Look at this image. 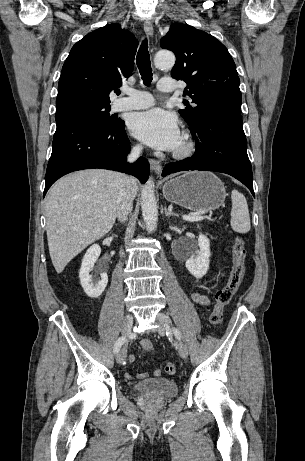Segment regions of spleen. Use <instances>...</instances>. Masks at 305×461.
<instances>
[{
  "label": "spleen",
  "instance_id": "spleen-1",
  "mask_svg": "<svg viewBox=\"0 0 305 461\" xmlns=\"http://www.w3.org/2000/svg\"><path fill=\"white\" fill-rule=\"evenodd\" d=\"M231 228L238 233H247L251 228L250 215L245 196L233 190L231 193Z\"/></svg>",
  "mask_w": 305,
  "mask_h": 461
}]
</instances>
